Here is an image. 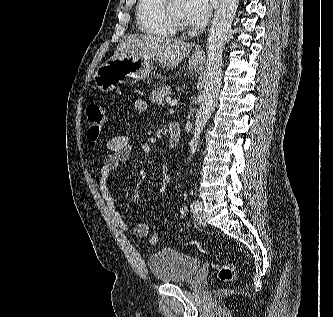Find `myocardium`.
Here are the masks:
<instances>
[{"label": "myocardium", "instance_id": "1", "mask_svg": "<svg viewBox=\"0 0 333 317\" xmlns=\"http://www.w3.org/2000/svg\"><path fill=\"white\" fill-rule=\"evenodd\" d=\"M174 0H162V14L171 29L177 33L185 34L190 31L189 25L181 23L175 16L173 11Z\"/></svg>", "mask_w": 333, "mask_h": 317}]
</instances>
